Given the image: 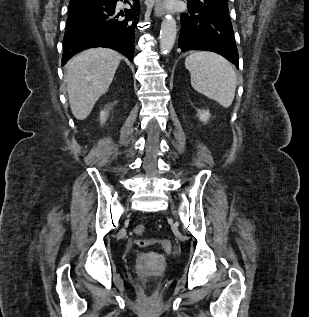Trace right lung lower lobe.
I'll list each match as a JSON object with an SVG mask.
<instances>
[{
	"label": "right lung lower lobe",
	"instance_id": "right-lung-lower-lobe-1",
	"mask_svg": "<svg viewBox=\"0 0 309 317\" xmlns=\"http://www.w3.org/2000/svg\"><path fill=\"white\" fill-rule=\"evenodd\" d=\"M118 1L70 0L62 65L76 53L92 47L117 50L133 61L140 5L138 0H130V7L119 11Z\"/></svg>",
	"mask_w": 309,
	"mask_h": 317
}]
</instances>
